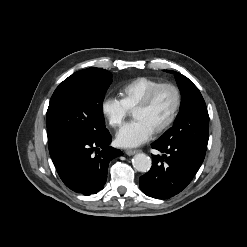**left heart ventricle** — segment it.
Returning <instances> with one entry per match:
<instances>
[{
	"instance_id": "obj_1",
	"label": "left heart ventricle",
	"mask_w": 247,
	"mask_h": 247,
	"mask_svg": "<svg viewBox=\"0 0 247 247\" xmlns=\"http://www.w3.org/2000/svg\"><path fill=\"white\" fill-rule=\"evenodd\" d=\"M174 104V92L169 88H164L156 95L154 101L147 109L135 110L133 117L134 119L145 121L155 130L169 118Z\"/></svg>"
}]
</instances>
